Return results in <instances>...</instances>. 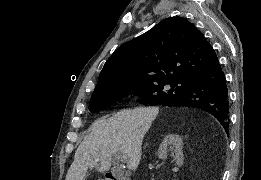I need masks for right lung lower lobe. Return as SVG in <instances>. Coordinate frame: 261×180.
<instances>
[{
  "label": "right lung lower lobe",
  "instance_id": "98d812e1",
  "mask_svg": "<svg viewBox=\"0 0 261 180\" xmlns=\"http://www.w3.org/2000/svg\"><path fill=\"white\" fill-rule=\"evenodd\" d=\"M161 105L186 106L204 110L212 114L229 130V96L226 79L219 62L193 73L187 80L183 92Z\"/></svg>",
  "mask_w": 261,
  "mask_h": 180
}]
</instances>
